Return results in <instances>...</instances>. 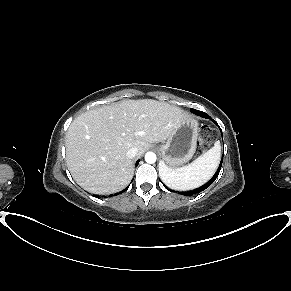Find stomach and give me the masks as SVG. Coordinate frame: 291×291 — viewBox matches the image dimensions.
Returning a JSON list of instances; mask_svg holds the SVG:
<instances>
[{
  "mask_svg": "<svg viewBox=\"0 0 291 291\" xmlns=\"http://www.w3.org/2000/svg\"><path fill=\"white\" fill-rule=\"evenodd\" d=\"M197 136L198 122L194 118L189 117L181 122L159 148L163 164L173 168L188 162L195 153Z\"/></svg>",
  "mask_w": 291,
  "mask_h": 291,
  "instance_id": "1",
  "label": "stomach"
}]
</instances>
